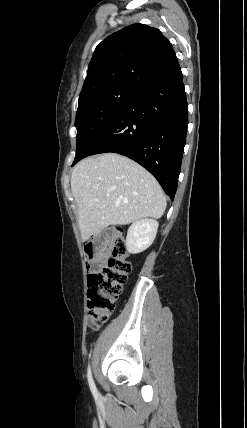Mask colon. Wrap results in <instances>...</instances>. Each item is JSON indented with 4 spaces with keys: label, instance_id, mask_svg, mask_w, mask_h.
Returning <instances> with one entry per match:
<instances>
[{
    "label": "colon",
    "instance_id": "1",
    "mask_svg": "<svg viewBox=\"0 0 247 428\" xmlns=\"http://www.w3.org/2000/svg\"><path fill=\"white\" fill-rule=\"evenodd\" d=\"M104 239L103 247L90 246L86 250L94 271L88 277V322L93 329L110 317L132 270L121 229H109Z\"/></svg>",
    "mask_w": 247,
    "mask_h": 428
}]
</instances>
